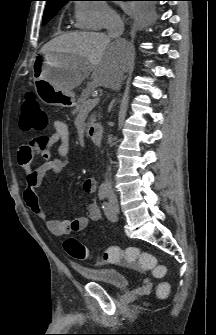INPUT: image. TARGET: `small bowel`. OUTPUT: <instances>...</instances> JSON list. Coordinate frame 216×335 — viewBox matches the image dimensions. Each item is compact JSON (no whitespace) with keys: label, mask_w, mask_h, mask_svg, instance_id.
Returning a JSON list of instances; mask_svg holds the SVG:
<instances>
[{"label":"small bowel","mask_w":216,"mask_h":335,"mask_svg":"<svg viewBox=\"0 0 216 335\" xmlns=\"http://www.w3.org/2000/svg\"><path fill=\"white\" fill-rule=\"evenodd\" d=\"M54 133L42 137L43 143L37 139L29 145H24L18 152V162L26 174V188L24 199L34 215L45 222L48 230L57 236H66L72 232L83 231L90 222H96L101 218V212L96 202L87 205L86 215L72 220H55L47 216L42 207L36 189L42 183L47 172L60 173L65 168V157L70 148L69 129L66 123L56 120L53 123ZM56 147L57 156L53 157L52 149ZM34 157H39L43 162L36 168L32 167ZM86 193H93L96 189V180L86 178L82 184Z\"/></svg>","instance_id":"1"}]
</instances>
